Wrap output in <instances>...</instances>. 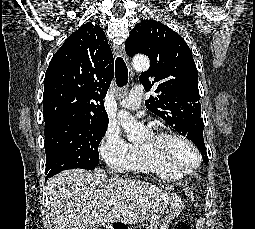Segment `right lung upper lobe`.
<instances>
[{
	"label": "right lung upper lobe",
	"instance_id": "right-lung-upper-lobe-1",
	"mask_svg": "<svg viewBox=\"0 0 255 229\" xmlns=\"http://www.w3.org/2000/svg\"><path fill=\"white\" fill-rule=\"evenodd\" d=\"M113 77L114 60L105 33L88 22L51 59L44 79L45 123L108 121L103 99Z\"/></svg>",
	"mask_w": 255,
	"mask_h": 229
}]
</instances>
